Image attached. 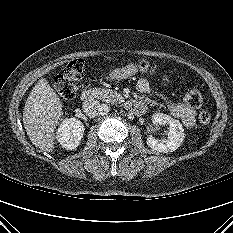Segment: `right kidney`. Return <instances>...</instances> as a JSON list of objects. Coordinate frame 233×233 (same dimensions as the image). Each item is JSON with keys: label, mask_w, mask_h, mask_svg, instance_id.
I'll return each instance as SVG.
<instances>
[{"label": "right kidney", "mask_w": 233, "mask_h": 233, "mask_svg": "<svg viewBox=\"0 0 233 233\" xmlns=\"http://www.w3.org/2000/svg\"><path fill=\"white\" fill-rule=\"evenodd\" d=\"M83 123L76 118H65L56 131V139L66 150L78 147L84 133Z\"/></svg>", "instance_id": "1"}]
</instances>
